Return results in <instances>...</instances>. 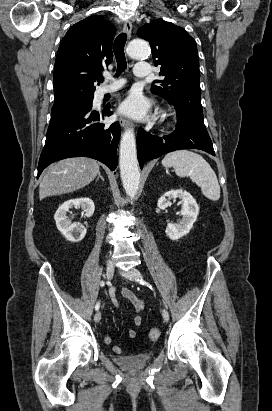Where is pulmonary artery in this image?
I'll list each match as a JSON object with an SVG mask.
<instances>
[{
  "label": "pulmonary artery",
  "mask_w": 272,
  "mask_h": 411,
  "mask_svg": "<svg viewBox=\"0 0 272 411\" xmlns=\"http://www.w3.org/2000/svg\"><path fill=\"white\" fill-rule=\"evenodd\" d=\"M137 77L146 78L149 76L150 69L148 63H138L135 67L134 71ZM123 83H115L107 87H102L99 91L100 95H104L109 92L116 91L118 88L122 86Z\"/></svg>",
  "instance_id": "obj_1"
}]
</instances>
